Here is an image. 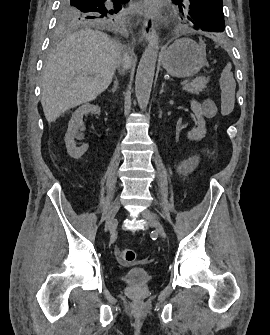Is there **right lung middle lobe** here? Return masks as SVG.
<instances>
[{
	"label": "right lung middle lobe",
	"instance_id": "dd1d6c3e",
	"mask_svg": "<svg viewBox=\"0 0 270 335\" xmlns=\"http://www.w3.org/2000/svg\"><path fill=\"white\" fill-rule=\"evenodd\" d=\"M106 0H61L57 12V31L65 32L87 26H112L120 16L122 5L108 4ZM121 1V0H115Z\"/></svg>",
	"mask_w": 270,
	"mask_h": 335
}]
</instances>
